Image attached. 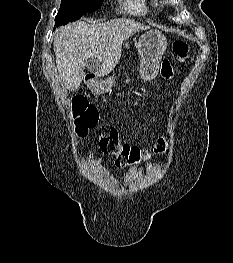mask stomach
Masks as SVG:
<instances>
[{
    "instance_id": "1",
    "label": "stomach",
    "mask_w": 233,
    "mask_h": 263,
    "mask_svg": "<svg viewBox=\"0 0 233 263\" xmlns=\"http://www.w3.org/2000/svg\"><path fill=\"white\" fill-rule=\"evenodd\" d=\"M137 47L141 55V78L146 81L152 80L158 74L160 61L167 47L166 37L158 30L147 31L140 37ZM114 81V77H107L106 80H93L89 82V87L96 93L130 87L129 83H112Z\"/></svg>"
}]
</instances>
